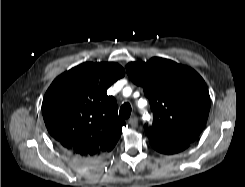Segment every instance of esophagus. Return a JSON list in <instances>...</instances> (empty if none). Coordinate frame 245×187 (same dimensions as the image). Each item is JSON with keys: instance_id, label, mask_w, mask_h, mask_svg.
<instances>
[{"instance_id": "1", "label": "esophagus", "mask_w": 245, "mask_h": 187, "mask_svg": "<svg viewBox=\"0 0 245 187\" xmlns=\"http://www.w3.org/2000/svg\"><path fill=\"white\" fill-rule=\"evenodd\" d=\"M128 123L132 126V127H137L138 126V119L136 116H132L129 118Z\"/></svg>"}]
</instances>
